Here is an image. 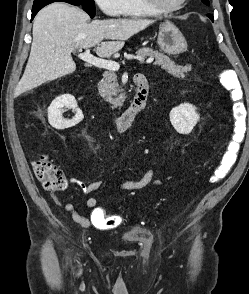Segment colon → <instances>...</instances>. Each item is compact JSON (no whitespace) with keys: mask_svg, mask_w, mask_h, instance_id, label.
I'll list each match as a JSON object with an SVG mask.
<instances>
[{"mask_svg":"<svg viewBox=\"0 0 249 294\" xmlns=\"http://www.w3.org/2000/svg\"><path fill=\"white\" fill-rule=\"evenodd\" d=\"M225 72L219 74V81L229 95L233 117L232 142L229 151L223 156L219 165L213 171L210 181L217 183L222 180L232 168L236 160V152L243 139L245 131L246 112L243 103V93L235 79H227ZM35 176L42 186L49 191H60L67 187L68 180L64 172L48 157L43 156L33 164Z\"/></svg>","mask_w":249,"mask_h":294,"instance_id":"1","label":"colon"}]
</instances>
